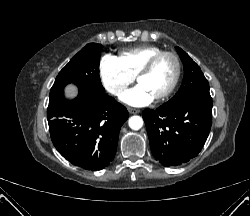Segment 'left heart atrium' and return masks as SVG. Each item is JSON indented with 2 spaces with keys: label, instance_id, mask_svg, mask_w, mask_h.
Masks as SVG:
<instances>
[{
  "label": "left heart atrium",
  "instance_id": "1",
  "mask_svg": "<svg viewBox=\"0 0 250 216\" xmlns=\"http://www.w3.org/2000/svg\"><path fill=\"white\" fill-rule=\"evenodd\" d=\"M153 99L154 97L151 95V93L145 88V86L140 83L127 91L121 97V100L124 103L135 107L145 106L149 104Z\"/></svg>",
  "mask_w": 250,
  "mask_h": 216
}]
</instances>
